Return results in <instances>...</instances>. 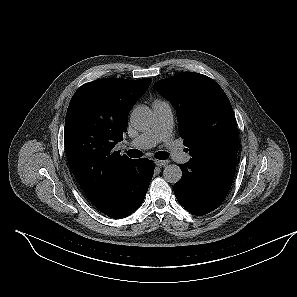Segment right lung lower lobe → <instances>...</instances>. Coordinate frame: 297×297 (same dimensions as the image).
<instances>
[{
    "label": "right lung lower lobe",
    "mask_w": 297,
    "mask_h": 297,
    "mask_svg": "<svg viewBox=\"0 0 297 297\" xmlns=\"http://www.w3.org/2000/svg\"><path fill=\"white\" fill-rule=\"evenodd\" d=\"M154 163L147 158L134 160L109 200L99 209L105 215L120 219L129 216L142 204L154 173Z\"/></svg>",
    "instance_id": "obj_1"
}]
</instances>
